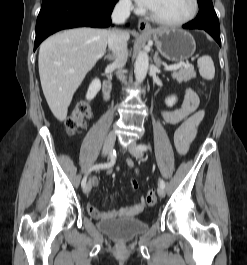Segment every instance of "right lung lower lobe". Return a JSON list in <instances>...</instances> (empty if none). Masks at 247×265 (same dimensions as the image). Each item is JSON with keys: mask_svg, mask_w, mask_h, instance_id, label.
Returning a JSON list of instances; mask_svg holds the SVG:
<instances>
[{"mask_svg": "<svg viewBox=\"0 0 247 265\" xmlns=\"http://www.w3.org/2000/svg\"><path fill=\"white\" fill-rule=\"evenodd\" d=\"M118 0H43L36 22L34 50L49 35L73 27H107Z\"/></svg>", "mask_w": 247, "mask_h": 265, "instance_id": "1", "label": "right lung lower lobe"}]
</instances>
